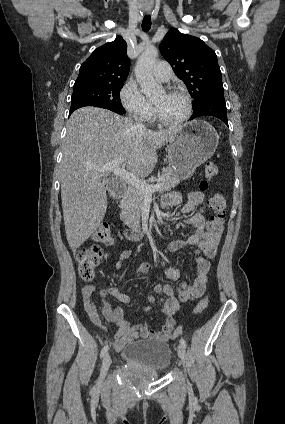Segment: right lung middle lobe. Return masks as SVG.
<instances>
[{
    "label": "right lung middle lobe",
    "instance_id": "right-lung-middle-lobe-1",
    "mask_svg": "<svg viewBox=\"0 0 285 424\" xmlns=\"http://www.w3.org/2000/svg\"><path fill=\"white\" fill-rule=\"evenodd\" d=\"M123 83L124 81L74 85L71 103L85 101L124 111L120 101V90Z\"/></svg>",
    "mask_w": 285,
    "mask_h": 424
}]
</instances>
